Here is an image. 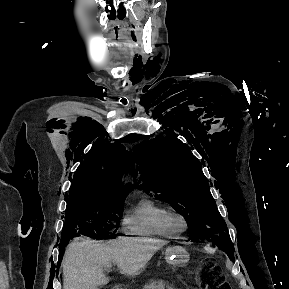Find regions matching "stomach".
<instances>
[{
	"instance_id": "stomach-1",
	"label": "stomach",
	"mask_w": 289,
	"mask_h": 289,
	"mask_svg": "<svg viewBox=\"0 0 289 289\" xmlns=\"http://www.w3.org/2000/svg\"><path fill=\"white\" fill-rule=\"evenodd\" d=\"M165 260L169 264L184 267L189 261V254L184 247L176 245L166 249Z\"/></svg>"
}]
</instances>
